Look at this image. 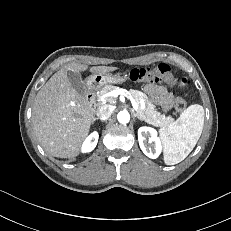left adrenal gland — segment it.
<instances>
[{
  "mask_svg": "<svg viewBox=\"0 0 231 231\" xmlns=\"http://www.w3.org/2000/svg\"><path fill=\"white\" fill-rule=\"evenodd\" d=\"M133 116H134V117H137L138 120H142V119L139 117V115H138L137 113H135V112L133 113Z\"/></svg>",
  "mask_w": 231,
  "mask_h": 231,
  "instance_id": "obj_1",
  "label": "left adrenal gland"
}]
</instances>
